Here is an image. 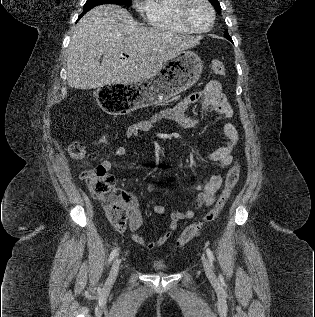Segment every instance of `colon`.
Here are the masks:
<instances>
[{
  "label": "colon",
  "mask_w": 315,
  "mask_h": 317,
  "mask_svg": "<svg viewBox=\"0 0 315 317\" xmlns=\"http://www.w3.org/2000/svg\"><path fill=\"white\" fill-rule=\"evenodd\" d=\"M211 69L216 75H226L225 65L220 60H212ZM106 140L107 138H103V142H106ZM67 151L70 157L76 160H83L88 154L85 145L81 142L69 144ZM239 177L240 166L235 163L226 174L224 186L214 206L207 212L203 220L188 226L180 234L177 239L178 247L185 246L205 224L213 222L218 217L237 185ZM81 178L92 195L103 202L104 211L110 223L117 230H123L127 224L129 210L125 197L114 186V177L100 164L84 170Z\"/></svg>",
  "instance_id": "5ec220e1"
}]
</instances>
